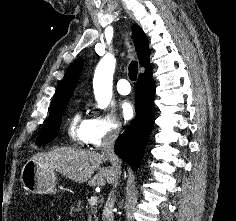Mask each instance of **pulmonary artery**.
Returning a JSON list of instances; mask_svg holds the SVG:
<instances>
[{
	"instance_id": "pulmonary-artery-1",
	"label": "pulmonary artery",
	"mask_w": 236,
	"mask_h": 221,
	"mask_svg": "<svg viewBox=\"0 0 236 221\" xmlns=\"http://www.w3.org/2000/svg\"><path fill=\"white\" fill-rule=\"evenodd\" d=\"M116 89L121 95H128L131 91V87L127 79H120L116 84Z\"/></svg>"
}]
</instances>
